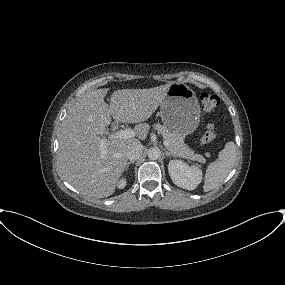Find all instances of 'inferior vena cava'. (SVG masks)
Segmentation results:
<instances>
[{
	"instance_id": "obj_1",
	"label": "inferior vena cava",
	"mask_w": 285,
	"mask_h": 285,
	"mask_svg": "<svg viewBox=\"0 0 285 285\" xmlns=\"http://www.w3.org/2000/svg\"><path fill=\"white\" fill-rule=\"evenodd\" d=\"M142 152L143 145L141 143H135L129 148L127 152V158L130 161H135L141 156Z\"/></svg>"
}]
</instances>
